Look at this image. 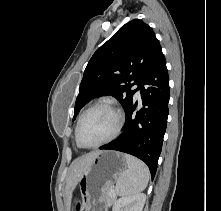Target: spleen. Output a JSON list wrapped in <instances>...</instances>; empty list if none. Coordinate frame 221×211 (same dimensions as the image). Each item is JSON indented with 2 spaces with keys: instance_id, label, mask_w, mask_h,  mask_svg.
<instances>
[{
  "instance_id": "1",
  "label": "spleen",
  "mask_w": 221,
  "mask_h": 211,
  "mask_svg": "<svg viewBox=\"0 0 221 211\" xmlns=\"http://www.w3.org/2000/svg\"><path fill=\"white\" fill-rule=\"evenodd\" d=\"M124 157L128 170L119 176L115 189L119 196H131L142 192L147 187L150 173L141 160L128 154Z\"/></svg>"
}]
</instances>
